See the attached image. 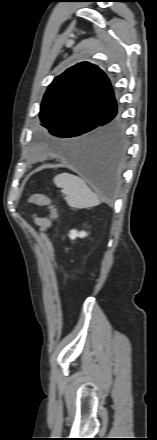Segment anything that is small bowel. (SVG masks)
I'll list each match as a JSON object with an SVG mask.
<instances>
[{
  "instance_id": "c3829d8e",
  "label": "small bowel",
  "mask_w": 157,
  "mask_h": 440,
  "mask_svg": "<svg viewBox=\"0 0 157 440\" xmlns=\"http://www.w3.org/2000/svg\"><path fill=\"white\" fill-rule=\"evenodd\" d=\"M34 220L37 225L41 226L42 228H48L51 226V221L48 218H42L35 216Z\"/></svg>"
}]
</instances>
